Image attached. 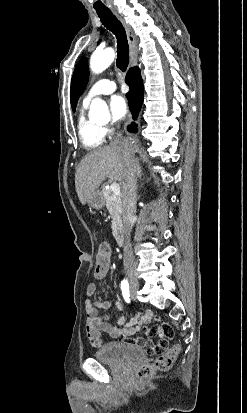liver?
<instances>
[{
  "label": "liver",
  "mask_w": 247,
  "mask_h": 413,
  "mask_svg": "<svg viewBox=\"0 0 247 413\" xmlns=\"http://www.w3.org/2000/svg\"><path fill=\"white\" fill-rule=\"evenodd\" d=\"M125 160L126 150L120 142H110L108 146L85 154L75 172V188L80 202L85 204L107 176L122 180Z\"/></svg>",
  "instance_id": "obj_1"
}]
</instances>
